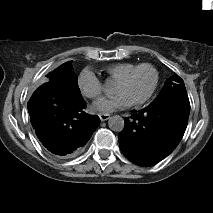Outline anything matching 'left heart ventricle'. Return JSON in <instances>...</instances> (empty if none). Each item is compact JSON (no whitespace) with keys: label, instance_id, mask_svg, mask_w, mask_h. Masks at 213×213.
Segmentation results:
<instances>
[{"label":"left heart ventricle","instance_id":"obj_1","mask_svg":"<svg viewBox=\"0 0 213 213\" xmlns=\"http://www.w3.org/2000/svg\"><path fill=\"white\" fill-rule=\"evenodd\" d=\"M152 78L150 71H140L129 82L125 84L116 83L114 91L125 96L129 101L137 99L147 93L151 86Z\"/></svg>","mask_w":213,"mask_h":213}]
</instances>
